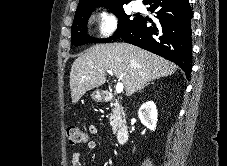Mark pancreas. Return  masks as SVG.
Returning <instances> with one entry per match:
<instances>
[{
	"label": "pancreas",
	"instance_id": "1",
	"mask_svg": "<svg viewBox=\"0 0 227 166\" xmlns=\"http://www.w3.org/2000/svg\"><path fill=\"white\" fill-rule=\"evenodd\" d=\"M125 123L124 111L119 104L115 103L110 116V125L112 126L113 133H116L118 128Z\"/></svg>",
	"mask_w": 227,
	"mask_h": 166
}]
</instances>
